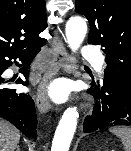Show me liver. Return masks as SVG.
<instances>
[{
    "label": "liver",
    "instance_id": "obj_1",
    "mask_svg": "<svg viewBox=\"0 0 131 151\" xmlns=\"http://www.w3.org/2000/svg\"><path fill=\"white\" fill-rule=\"evenodd\" d=\"M19 140V131L10 123L0 120V151H15Z\"/></svg>",
    "mask_w": 131,
    "mask_h": 151
}]
</instances>
